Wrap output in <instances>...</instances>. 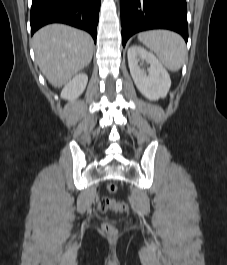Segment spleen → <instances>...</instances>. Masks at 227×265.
I'll use <instances>...</instances> for the list:
<instances>
[{"label":"spleen","instance_id":"obj_1","mask_svg":"<svg viewBox=\"0 0 227 265\" xmlns=\"http://www.w3.org/2000/svg\"><path fill=\"white\" fill-rule=\"evenodd\" d=\"M138 39L152 50L162 64L172 72L178 71L186 57V45L183 38L172 31L152 30L138 34Z\"/></svg>","mask_w":227,"mask_h":265}]
</instances>
